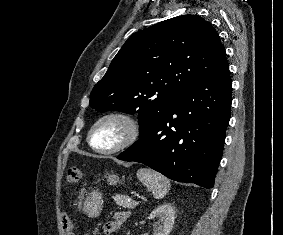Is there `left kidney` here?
<instances>
[{"instance_id": "obj_1", "label": "left kidney", "mask_w": 283, "mask_h": 235, "mask_svg": "<svg viewBox=\"0 0 283 235\" xmlns=\"http://www.w3.org/2000/svg\"><path fill=\"white\" fill-rule=\"evenodd\" d=\"M155 217H159L162 222V225L159 226L158 232L155 235H169L175 219L174 209L171 204H163L154 209L150 213L149 219H154Z\"/></svg>"}]
</instances>
